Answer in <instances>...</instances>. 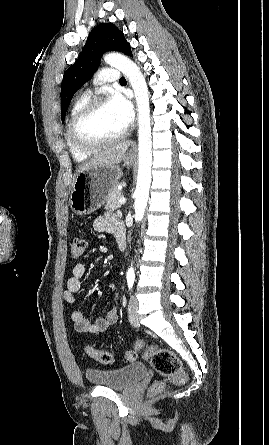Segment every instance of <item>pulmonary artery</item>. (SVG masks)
Here are the masks:
<instances>
[{"label":"pulmonary artery","mask_w":269,"mask_h":445,"mask_svg":"<svg viewBox=\"0 0 269 445\" xmlns=\"http://www.w3.org/2000/svg\"><path fill=\"white\" fill-rule=\"evenodd\" d=\"M120 79V73L114 68H103L98 73V80L100 82H117Z\"/></svg>","instance_id":"pulmonary-artery-1"}]
</instances>
